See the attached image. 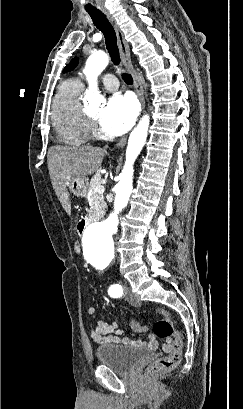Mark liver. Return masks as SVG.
I'll list each match as a JSON object with an SVG mask.
<instances>
[{"label":"liver","mask_w":243,"mask_h":409,"mask_svg":"<svg viewBox=\"0 0 243 409\" xmlns=\"http://www.w3.org/2000/svg\"><path fill=\"white\" fill-rule=\"evenodd\" d=\"M105 150L100 147L52 146L47 155L50 178L55 193L68 215L71 202L66 182L74 178H84L95 173L101 166Z\"/></svg>","instance_id":"liver-1"}]
</instances>
